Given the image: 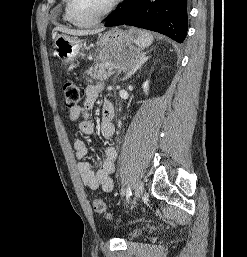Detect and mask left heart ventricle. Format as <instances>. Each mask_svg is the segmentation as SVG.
I'll return each mask as SVG.
<instances>
[{"mask_svg":"<svg viewBox=\"0 0 247 257\" xmlns=\"http://www.w3.org/2000/svg\"><path fill=\"white\" fill-rule=\"evenodd\" d=\"M112 0H74L76 16L83 20H91L101 14Z\"/></svg>","mask_w":247,"mask_h":257,"instance_id":"b2bd125f","label":"left heart ventricle"}]
</instances>
